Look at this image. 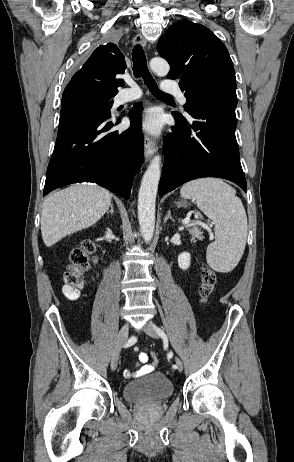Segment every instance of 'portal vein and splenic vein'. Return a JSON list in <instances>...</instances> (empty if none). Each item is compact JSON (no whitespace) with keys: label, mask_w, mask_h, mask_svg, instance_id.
Here are the masks:
<instances>
[{"label":"portal vein and splenic vein","mask_w":294,"mask_h":462,"mask_svg":"<svg viewBox=\"0 0 294 462\" xmlns=\"http://www.w3.org/2000/svg\"><path fill=\"white\" fill-rule=\"evenodd\" d=\"M195 224H198V225H201L203 227H206V225L200 221H195L194 222ZM182 224L185 225V226H189L191 224V220L189 218H185L182 220Z\"/></svg>","instance_id":"1"}]
</instances>
